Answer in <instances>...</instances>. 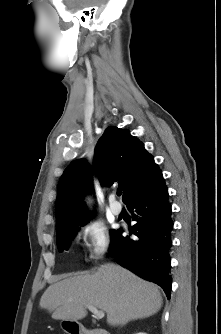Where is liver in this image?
Returning a JSON list of instances; mask_svg holds the SVG:
<instances>
[{"instance_id": "1", "label": "liver", "mask_w": 221, "mask_h": 334, "mask_svg": "<svg viewBox=\"0 0 221 334\" xmlns=\"http://www.w3.org/2000/svg\"><path fill=\"white\" fill-rule=\"evenodd\" d=\"M162 303L156 285L114 263L54 283L40 299L53 319L78 321L87 315L86 306L93 305L106 312L112 326L152 316Z\"/></svg>"}]
</instances>
